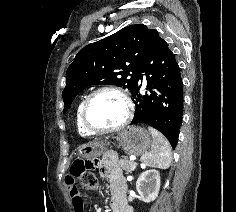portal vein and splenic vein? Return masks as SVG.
I'll list each match as a JSON object with an SVG mask.
<instances>
[{"label":"portal vein and splenic vein","mask_w":236,"mask_h":212,"mask_svg":"<svg viewBox=\"0 0 236 212\" xmlns=\"http://www.w3.org/2000/svg\"><path fill=\"white\" fill-rule=\"evenodd\" d=\"M131 160H135L136 158L135 157H130ZM137 165H132V169L134 170L136 168Z\"/></svg>","instance_id":"18ae733b"}]
</instances>
